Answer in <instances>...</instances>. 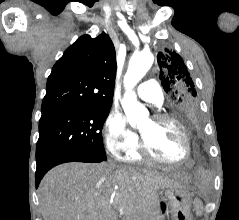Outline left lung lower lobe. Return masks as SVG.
<instances>
[{"label": "left lung lower lobe", "instance_id": "obj_1", "mask_svg": "<svg viewBox=\"0 0 239 220\" xmlns=\"http://www.w3.org/2000/svg\"><path fill=\"white\" fill-rule=\"evenodd\" d=\"M180 122L190 129L194 135H197L200 131V116L196 113H191L189 115H185L182 118H179Z\"/></svg>", "mask_w": 239, "mask_h": 220}]
</instances>
